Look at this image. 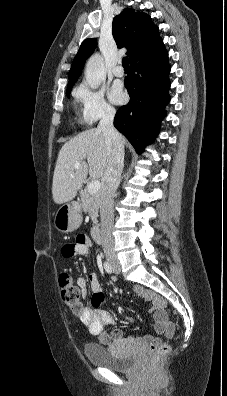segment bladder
<instances>
[{
	"label": "bladder",
	"mask_w": 227,
	"mask_h": 396,
	"mask_svg": "<svg viewBox=\"0 0 227 396\" xmlns=\"http://www.w3.org/2000/svg\"><path fill=\"white\" fill-rule=\"evenodd\" d=\"M84 353L91 365L114 372H128L138 362V358L134 354H122L114 349L96 344H87L84 348Z\"/></svg>",
	"instance_id": "1"
}]
</instances>
